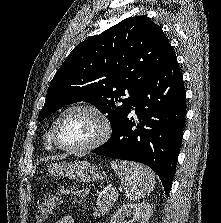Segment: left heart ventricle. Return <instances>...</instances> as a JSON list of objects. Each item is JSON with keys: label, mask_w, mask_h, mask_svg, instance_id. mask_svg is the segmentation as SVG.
I'll return each mask as SVG.
<instances>
[{"label": "left heart ventricle", "mask_w": 221, "mask_h": 223, "mask_svg": "<svg viewBox=\"0 0 221 223\" xmlns=\"http://www.w3.org/2000/svg\"><path fill=\"white\" fill-rule=\"evenodd\" d=\"M101 125L96 116L82 110L67 113L60 121L57 138L65 146H82L98 136Z\"/></svg>", "instance_id": "obj_1"}]
</instances>
